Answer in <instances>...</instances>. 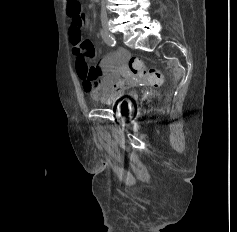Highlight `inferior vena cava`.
Returning <instances> with one entry per match:
<instances>
[{
    "label": "inferior vena cava",
    "mask_w": 237,
    "mask_h": 232,
    "mask_svg": "<svg viewBox=\"0 0 237 232\" xmlns=\"http://www.w3.org/2000/svg\"><path fill=\"white\" fill-rule=\"evenodd\" d=\"M101 19L103 21L107 20V11L104 0H102V7H101Z\"/></svg>",
    "instance_id": "602c4592"
}]
</instances>
